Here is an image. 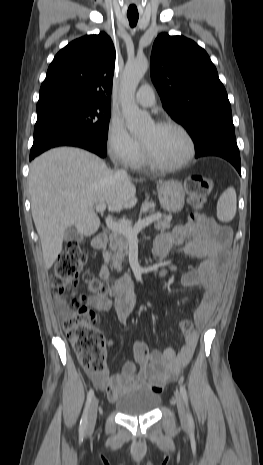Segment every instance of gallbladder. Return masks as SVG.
I'll use <instances>...</instances> for the list:
<instances>
[{
	"label": "gallbladder",
	"instance_id": "bac80fb5",
	"mask_svg": "<svg viewBox=\"0 0 263 465\" xmlns=\"http://www.w3.org/2000/svg\"><path fill=\"white\" fill-rule=\"evenodd\" d=\"M83 239V235L73 228H70L66 231L65 240H75L81 242Z\"/></svg>",
	"mask_w": 263,
	"mask_h": 465
}]
</instances>
